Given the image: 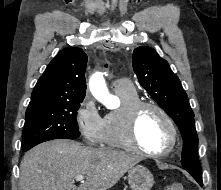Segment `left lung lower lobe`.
Here are the masks:
<instances>
[{"label":"left lung lower lobe","instance_id":"obj_1","mask_svg":"<svg viewBox=\"0 0 221 190\" xmlns=\"http://www.w3.org/2000/svg\"><path fill=\"white\" fill-rule=\"evenodd\" d=\"M195 178V180L201 185V186H203V183H202V177H194Z\"/></svg>","mask_w":221,"mask_h":190}]
</instances>
